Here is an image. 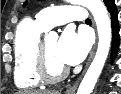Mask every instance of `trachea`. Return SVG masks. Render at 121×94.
Masks as SVG:
<instances>
[{"label":"trachea","mask_w":121,"mask_h":94,"mask_svg":"<svg viewBox=\"0 0 121 94\" xmlns=\"http://www.w3.org/2000/svg\"><path fill=\"white\" fill-rule=\"evenodd\" d=\"M86 22H91V19L87 18V19H86Z\"/></svg>","instance_id":"trachea-1"}]
</instances>
